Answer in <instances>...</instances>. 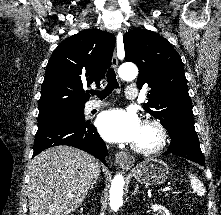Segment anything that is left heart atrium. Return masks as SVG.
Masks as SVG:
<instances>
[{"instance_id":"1","label":"left heart atrium","mask_w":221,"mask_h":215,"mask_svg":"<svg viewBox=\"0 0 221 215\" xmlns=\"http://www.w3.org/2000/svg\"><path fill=\"white\" fill-rule=\"evenodd\" d=\"M141 126L138 116L132 110L105 111L97 120L100 134L111 142H135Z\"/></svg>"}]
</instances>
